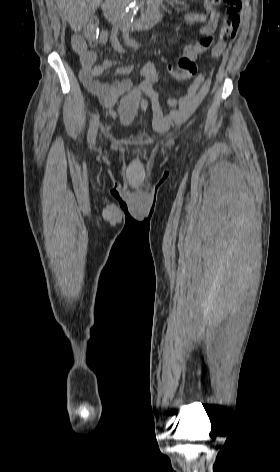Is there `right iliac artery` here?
<instances>
[{
	"label": "right iliac artery",
	"instance_id": "obj_1",
	"mask_svg": "<svg viewBox=\"0 0 280 472\" xmlns=\"http://www.w3.org/2000/svg\"><path fill=\"white\" fill-rule=\"evenodd\" d=\"M122 29V26H117L114 28L113 32H112V35H111V42H112V45L113 47L118 50V51H122V47L120 46L117 38H116V34L118 32V30H121ZM98 123H99V116L98 115H94V117L92 118V121H91V124H90V128H89V131H88V141L89 142H94L95 138H96V134H97V130H98Z\"/></svg>",
	"mask_w": 280,
	"mask_h": 472
}]
</instances>
